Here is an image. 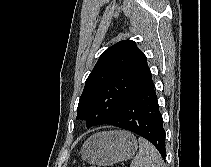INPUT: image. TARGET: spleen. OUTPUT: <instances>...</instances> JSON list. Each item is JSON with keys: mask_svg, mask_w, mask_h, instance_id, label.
<instances>
[{"mask_svg": "<svg viewBox=\"0 0 211 167\" xmlns=\"http://www.w3.org/2000/svg\"><path fill=\"white\" fill-rule=\"evenodd\" d=\"M139 152L131 162V167H165L158 150L146 139L139 138Z\"/></svg>", "mask_w": 211, "mask_h": 167, "instance_id": "obj_1", "label": "spleen"}]
</instances>
